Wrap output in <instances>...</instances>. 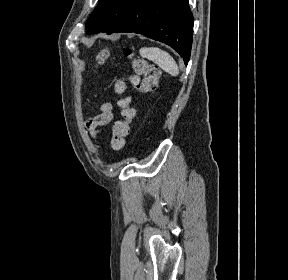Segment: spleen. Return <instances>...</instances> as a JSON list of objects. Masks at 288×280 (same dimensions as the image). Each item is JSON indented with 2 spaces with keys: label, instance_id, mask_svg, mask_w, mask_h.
<instances>
[{
  "label": "spleen",
  "instance_id": "spleen-1",
  "mask_svg": "<svg viewBox=\"0 0 288 280\" xmlns=\"http://www.w3.org/2000/svg\"><path fill=\"white\" fill-rule=\"evenodd\" d=\"M139 52L143 58L153 61L170 75H179L178 65L168 52L158 47H143Z\"/></svg>",
  "mask_w": 288,
  "mask_h": 280
}]
</instances>
